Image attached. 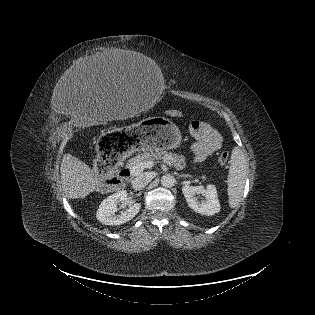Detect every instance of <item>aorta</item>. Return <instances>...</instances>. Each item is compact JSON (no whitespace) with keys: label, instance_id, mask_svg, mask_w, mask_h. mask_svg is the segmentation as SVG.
<instances>
[{"label":"aorta","instance_id":"aorta-1","mask_svg":"<svg viewBox=\"0 0 315 315\" xmlns=\"http://www.w3.org/2000/svg\"><path fill=\"white\" fill-rule=\"evenodd\" d=\"M161 184L163 187L170 188L174 186L175 178L170 174L163 175L161 178Z\"/></svg>","mask_w":315,"mask_h":315}]
</instances>
